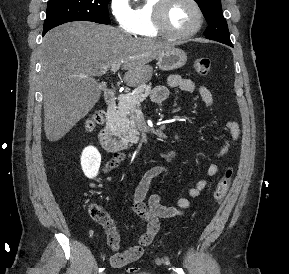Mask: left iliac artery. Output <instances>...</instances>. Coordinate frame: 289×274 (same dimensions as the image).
<instances>
[{
  "label": "left iliac artery",
  "instance_id": "left-iliac-artery-1",
  "mask_svg": "<svg viewBox=\"0 0 289 274\" xmlns=\"http://www.w3.org/2000/svg\"><path fill=\"white\" fill-rule=\"evenodd\" d=\"M178 274H185L182 268H176L175 270Z\"/></svg>",
  "mask_w": 289,
  "mask_h": 274
}]
</instances>
